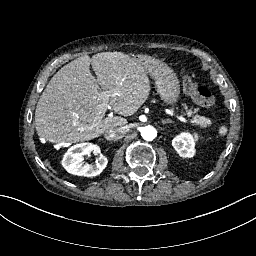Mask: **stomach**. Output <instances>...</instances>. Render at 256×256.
Listing matches in <instances>:
<instances>
[{"label":"stomach","instance_id":"0dacf381","mask_svg":"<svg viewBox=\"0 0 256 256\" xmlns=\"http://www.w3.org/2000/svg\"><path fill=\"white\" fill-rule=\"evenodd\" d=\"M164 69L156 72L153 76L157 92L161 99L167 104L177 102L180 94L179 80L171 68L163 64Z\"/></svg>","mask_w":256,"mask_h":256}]
</instances>
